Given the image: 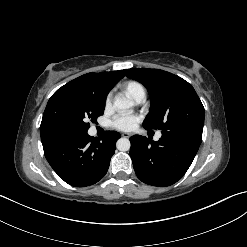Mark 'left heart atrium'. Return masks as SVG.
I'll use <instances>...</instances> for the list:
<instances>
[{
  "instance_id": "left-heart-atrium-1",
  "label": "left heart atrium",
  "mask_w": 247,
  "mask_h": 247,
  "mask_svg": "<svg viewBox=\"0 0 247 247\" xmlns=\"http://www.w3.org/2000/svg\"><path fill=\"white\" fill-rule=\"evenodd\" d=\"M137 122L138 117L136 115L121 113L115 116L113 125L120 130L128 131L132 130Z\"/></svg>"
}]
</instances>
